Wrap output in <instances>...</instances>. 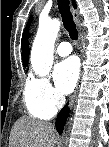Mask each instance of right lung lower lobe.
<instances>
[{"label": "right lung lower lobe", "instance_id": "right-lung-lower-lobe-1", "mask_svg": "<svg viewBox=\"0 0 109 147\" xmlns=\"http://www.w3.org/2000/svg\"><path fill=\"white\" fill-rule=\"evenodd\" d=\"M67 105L68 104H66L63 107V109L60 111V113L58 114L57 119H56V129L59 134H62V132H63V128H64V125L66 123L67 116L69 113V108L67 107Z\"/></svg>", "mask_w": 109, "mask_h": 147}]
</instances>
